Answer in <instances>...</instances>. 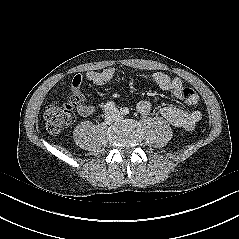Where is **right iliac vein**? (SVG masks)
Instances as JSON below:
<instances>
[{
	"mask_svg": "<svg viewBox=\"0 0 239 239\" xmlns=\"http://www.w3.org/2000/svg\"><path fill=\"white\" fill-rule=\"evenodd\" d=\"M114 120H115V117H114V115H112L111 112H109V113L106 114V116H105V122H106L107 124L113 123Z\"/></svg>",
	"mask_w": 239,
	"mask_h": 239,
	"instance_id": "right-iliac-vein-1",
	"label": "right iliac vein"
}]
</instances>
